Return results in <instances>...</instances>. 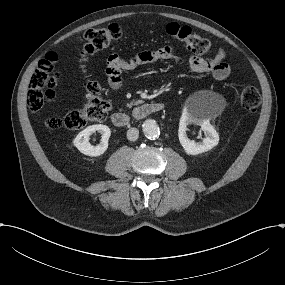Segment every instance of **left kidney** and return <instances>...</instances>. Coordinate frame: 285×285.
<instances>
[{
    "label": "left kidney",
    "instance_id": "obj_1",
    "mask_svg": "<svg viewBox=\"0 0 285 285\" xmlns=\"http://www.w3.org/2000/svg\"><path fill=\"white\" fill-rule=\"evenodd\" d=\"M201 130L205 133V138L201 143H197L194 140H190L187 137V123L181 122L178 130V137L180 144L184 148L185 152L189 155H197L211 150L219 142V135L215 128L209 121H203L201 123Z\"/></svg>",
    "mask_w": 285,
    "mask_h": 285
}]
</instances>
